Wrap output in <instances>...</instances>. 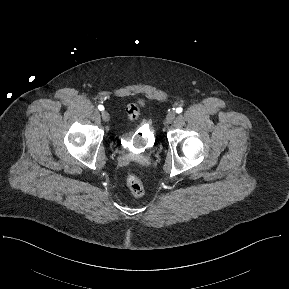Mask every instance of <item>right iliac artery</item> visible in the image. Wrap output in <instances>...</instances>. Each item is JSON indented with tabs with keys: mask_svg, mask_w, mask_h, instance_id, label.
I'll return each instance as SVG.
<instances>
[{
	"mask_svg": "<svg viewBox=\"0 0 289 289\" xmlns=\"http://www.w3.org/2000/svg\"><path fill=\"white\" fill-rule=\"evenodd\" d=\"M98 109H99L100 111H103V110H104V106H103V105H98Z\"/></svg>",
	"mask_w": 289,
	"mask_h": 289,
	"instance_id": "obj_1",
	"label": "right iliac artery"
}]
</instances>
